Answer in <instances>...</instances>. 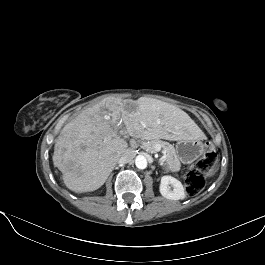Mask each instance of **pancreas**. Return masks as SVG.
Returning <instances> with one entry per match:
<instances>
[{
	"mask_svg": "<svg viewBox=\"0 0 265 265\" xmlns=\"http://www.w3.org/2000/svg\"><path fill=\"white\" fill-rule=\"evenodd\" d=\"M160 145V147L165 151V160L164 165L167 166V169L171 172H177L180 170L181 164L176 155V150L173 145L168 142L154 139L148 142L143 141L142 147L148 152H155V147Z\"/></svg>",
	"mask_w": 265,
	"mask_h": 265,
	"instance_id": "1",
	"label": "pancreas"
}]
</instances>
